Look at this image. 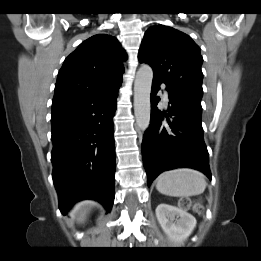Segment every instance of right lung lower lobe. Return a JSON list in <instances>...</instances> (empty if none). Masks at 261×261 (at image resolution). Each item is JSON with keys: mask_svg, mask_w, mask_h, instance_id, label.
Segmentation results:
<instances>
[{"mask_svg": "<svg viewBox=\"0 0 261 261\" xmlns=\"http://www.w3.org/2000/svg\"><path fill=\"white\" fill-rule=\"evenodd\" d=\"M118 89L53 103L52 178L65 214L79 200L95 199L109 212L114 202L113 117Z\"/></svg>", "mask_w": 261, "mask_h": 261, "instance_id": "98d812e1", "label": "right lung lower lobe"}]
</instances>
